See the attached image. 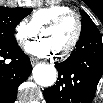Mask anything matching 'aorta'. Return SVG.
Masks as SVG:
<instances>
[{
	"instance_id": "aorta-1",
	"label": "aorta",
	"mask_w": 103,
	"mask_h": 103,
	"mask_svg": "<svg viewBox=\"0 0 103 103\" xmlns=\"http://www.w3.org/2000/svg\"><path fill=\"white\" fill-rule=\"evenodd\" d=\"M32 73L35 82L42 87L52 86L57 79L56 68L51 64H38Z\"/></svg>"
}]
</instances>
